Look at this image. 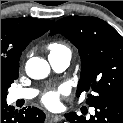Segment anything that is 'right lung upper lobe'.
<instances>
[{
  "label": "right lung upper lobe",
  "instance_id": "right-lung-upper-lobe-1",
  "mask_svg": "<svg viewBox=\"0 0 123 123\" xmlns=\"http://www.w3.org/2000/svg\"><path fill=\"white\" fill-rule=\"evenodd\" d=\"M53 23L48 19L27 17L1 20V90L12 79L18 78L21 52L33 39L47 32Z\"/></svg>",
  "mask_w": 123,
  "mask_h": 123
}]
</instances>
